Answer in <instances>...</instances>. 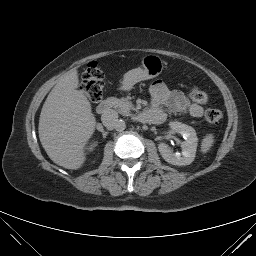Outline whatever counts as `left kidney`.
Instances as JSON below:
<instances>
[{"mask_svg": "<svg viewBox=\"0 0 256 256\" xmlns=\"http://www.w3.org/2000/svg\"><path fill=\"white\" fill-rule=\"evenodd\" d=\"M170 127L174 132L181 134L185 139V141L181 143L182 154L172 153L168 145L161 142L158 144L161 156L172 165L185 166L191 164L195 158L198 142L195 130L191 126L182 124L181 122H171Z\"/></svg>", "mask_w": 256, "mask_h": 256, "instance_id": "left-kidney-1", "label": "left kidney"}]
</instances>
